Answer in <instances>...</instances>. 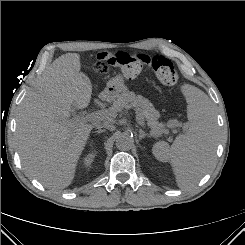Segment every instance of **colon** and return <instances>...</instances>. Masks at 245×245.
I'll use <instances>...</instances> for the list:
<instances>
[{
	"mask_svg": "<svg viewBox=\"0 0 245 245\" xmlns=\"http://www.w3.org/2000/svg\"><path fill=\"white\" fill-rule=\"evenodd\" d=\"M148 65L155 72L160 82L175 86L179 83L178 74L172 62L164 56H147L145 54H131L118 52L114 55H100L93 63V68L100 74H106L110 68L118 70L124 78L137 76L142 67Z\"/></svg>",
	"mask_w": 245,
	"mask_h": 245,
	"instance_id": "1",
	"label": "colon"
}]
</instances>
